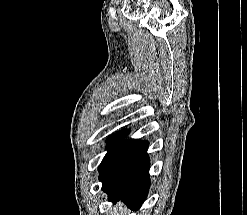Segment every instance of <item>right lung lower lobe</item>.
<instances>
[{"label":"right lung lower lobe","mask_w":247,"mask_h":215,"mask_svg":"<svg viewBox=\"0 0 247 215\" xmlns=\"http://www.w3.org/2000/svg\"><path fill=\"white\" fill-rule=\"evenodd\" d=\"M128 133L120 131L107 139L108 152L99 166V180L109 201L122 200L139 209L150 186L148 142L124 139Z\"/></svg>","instance_id":"98d812e1"}]
</instances>
